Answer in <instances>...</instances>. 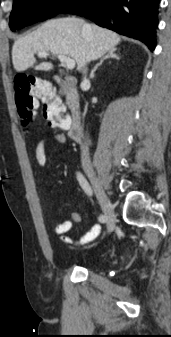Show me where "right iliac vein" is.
<instances>
[{
	"label": "right iliac vein",
	"mask_w": 171,
	"mask_h": 337,
	"mask_svg": "<svg viewBox=\"0 0 171 337\" xmlns=\"http://www.w3.org/2000/svg\"><path fill=\"white\" fill-rule=\"evenodd\" d=\"M86 172L94 186L96 196L99 200L101 208L107 218V228L109 232H112L115 228V214L113 206L108 199L106 193L104 192L98 178L96 177L93 169L91 167H86Z\"/></svg>",
	"instance_id": "right-iliac-vein-1"
}]
</instances>
